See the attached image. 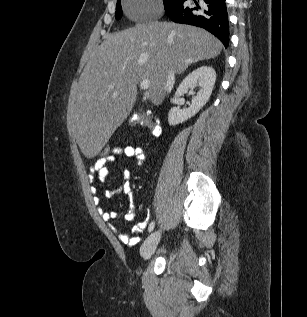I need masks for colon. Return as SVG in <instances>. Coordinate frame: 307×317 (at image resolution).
Wrapping results in <instances>:
<instances>
[{"label":"colon","mask_w":307,"mask_h":317,"mask_svg":"<svg viewBox=\"0 0 307 317\" xmlns=\"http://www.w3.org/2000/svg\"><path fill=\"white\" fill-rule=\"evenodd\" d=\"M131 125L135 126V125H143L145 128H147V130L149 131H153L156 127V125L154 123H151V125H147L146 122L139 120L137 118H134L131 120ZM119 146H114V145H109V144H105L103 145L98 153V160H102V161H109L112 157L115 156L116 153V149Z\"/></svg>","instance_id":"5ec220e1"}]
</instances>
